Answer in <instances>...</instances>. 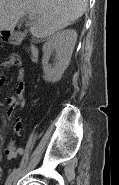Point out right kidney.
<instances>
[{
	"mask_svg": "<svg viewBox=\"0 0 119 185\" xmlns=\"http://www.w3.org/2000/svg\"><path fill=\"white\" fill-rule=\"evenodd\" d=\"M76 40L77 32L72 29L58 31L47 39L42 48L45 81L54 83L61 79L70 63ZM52 52L56 53L53 65L48 63Z\"/></svg>",
	"mask_w": 119,
	"mask_h": 185,
	"instance_id": "ca27d5eb",
	"label": "right kidney"
}]
</instances>
